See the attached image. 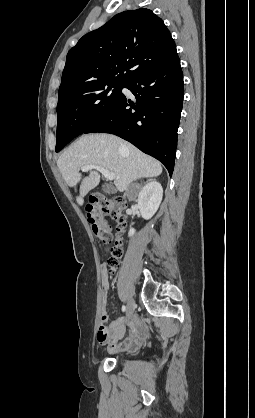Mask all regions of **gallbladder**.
Returning <instances> with one entry per match:
<instances>
[{
    "mask_svg": "<svg viewBox=\"0 0 255 418\" xmlns=\"http://www.w3.org/2000/svg\"><path fill=\"white\" fill-rule=\"evenodd\" d=\"M103 191L105 193H114L115 192V188L110 186V185H105L103 186Z\"/></svg>",
    "mask_w": 255,
    "mask_h": 418,
    "instance_id": "gallbladder-1",
    "label": "gallbladder"
}]
</instances>
